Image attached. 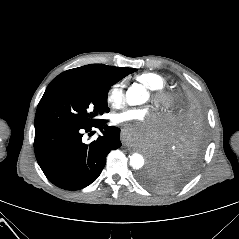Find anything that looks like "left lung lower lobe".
<instances>
[{
  "mask_svg": "<svg viewBox=\"0 0 239 239\" xmlns=\"http://www.w3.org/2000/svg\"><path fill=\"white\" fill-rule=\"evenodd\" d=\"M175 119L151 158L150 169L169 181L170 188L185 184L194 174L206 138L204 111L198 97L177 102Z\"/></svg>",
  "mask_w": 239,
  "mask_h": 239,
  "instance_id": "left-lung-lower-lobe-1",
  "label": "left lung lower lobe"
}]
</instances>
